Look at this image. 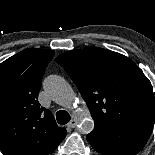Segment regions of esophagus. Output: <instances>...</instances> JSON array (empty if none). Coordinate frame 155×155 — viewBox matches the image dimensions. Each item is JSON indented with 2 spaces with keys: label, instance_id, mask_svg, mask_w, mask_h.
I'll list each match as a JSON object with an SVG mask.
<instances>
[{
  "label": "esophagus",
  "instance_id": "34e87169",
  "mask_svg": "<svg viewBox=\"0 0 155 155\" xmlns=\"http://www.w3.org/2000/svg\"><path fill=\"white\" fill-rule=\"evenodd\" d=\"M77 124H78V121H77L76 119H72V120L67 124V126H68L69 128H75V127L77 126Z\"/></svg>",
  "mask_w": 155,
  "mask_h": 155
}]
</instances>
